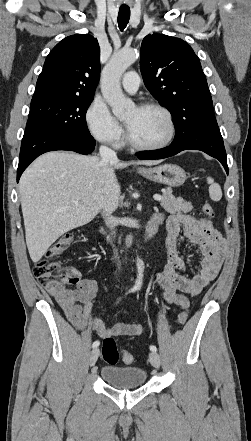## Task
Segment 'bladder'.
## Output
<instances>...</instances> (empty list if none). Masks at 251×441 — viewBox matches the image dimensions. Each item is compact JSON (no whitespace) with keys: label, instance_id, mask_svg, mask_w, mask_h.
I'll return each instance as SVG.
<instances>
[{"label":"bladder","instance_id":"bladder-1","mask_svg":"<svg viewBox=\"0 0 251 441\" xmlns=\"http://www.w3.org/2000/svg\"><path fill=\"white\" fill-rule=\"evenodd\" d=\"M100 376L110 386L121 389L140 387L147 380V374L141 368L110 364L101 368Z\"/></svg>","mask_w":251,"mask_h":441}]
</instances>
